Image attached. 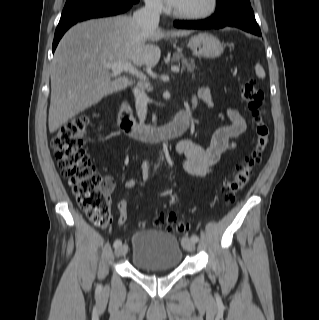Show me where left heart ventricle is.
<instances>
[{
  "instance_id": "left-heart-ventricle-1",
  "label": "left heart ventricle",
  "mask_w": 319,
  "mask_h": 320,
  "mask_svg": "<svg viewBox=\"0 0 319 320\" xmlns=\"http://www.w3.org/2000/svg\"><path fill=\"white\" fill-rule=\"evenodd\" d=\"M208 1L209 0H182L176 10L184 13L199 12L208 6Z\"/></svg>"
}]
</instances>
